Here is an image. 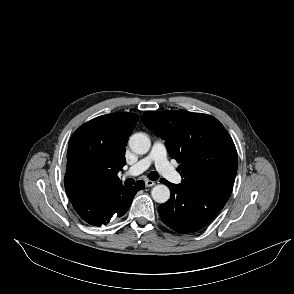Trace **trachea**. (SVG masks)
<instances>
[{
  "mask_svg": "<svg viewBox=\"0 0 294 294\" xmlns=\"http://www.w3.org/2000/svg\"><path fill=\"white\" fill-rule=\"evenodd\" d=\"M150 180L155 181L159 178V174L156 171H152L148 174ZM134 179L130 178L125 181V185H134Z\"/></svg>",
  "mask_w": 294,
  "mask_h": 294,
  "instance_id": "obj_1",
  "label": "trachea"
}]
</instances>
